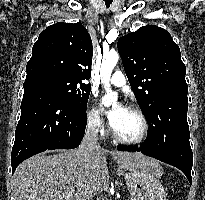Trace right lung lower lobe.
<instances>
[{
    "label": "right lung lower lobe",
    "mask_w": 205,
    "mask_h": 200,
    "mask_svg": "<svg viewBox=\"0 0 205 200\" xmlns=\"http://www.w3.org/2000/svg\"><path fill=\"white\" fill-rule=\"evenodd\" d=\"M23 88L11 155L12 174L23 160L37 153L77 147L87 125L86 110L68 103L54 89L37 84Z\"/></svg>",
    "instance_id": "right-lung-lower-lobe-1"
}]
</instances>
